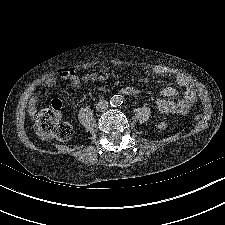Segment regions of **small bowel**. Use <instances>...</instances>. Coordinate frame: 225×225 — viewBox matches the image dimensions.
<instances>
[{
  "label": "small bowel",
  "instance_id": "c3829d8e",
  "mask_svg": "<svg viewBox=\"0 0 225 225\" xmlns=\"http://www.w3.org/2000/svg\"><path fill=\"white\" fill-rule=\"evenodd\" d=\"M157 72L161 73L162 70L158 69ZM56 82H57V79L55 77H51V78L46 79L42 83L41 87L53 86L54 84H56ZM81 82H82V78L78 75H72L70 77V83L74 87L80 86ZM177 82L181 86L187 85L186 80L183 77H179L177 79ZM123 93H125L127 95H136L138 93V90L135 87L129 86V87L124 88ZM161 94L164 96H173L176 94V90L172 87H167V88H164L161 90ZM192 96H193V94H192V91L190 90V88H186L184 97L181 101L175 103L172 101L159 99V100H157V107L162 113L184 112L187 109V107L192 99ZM30 101L33 106L37 105L39 102L38 95H36V94L32 95Z\"/></svg>",
  "mask_w": 225,
  "mask_h": 225
}]
</instances>
